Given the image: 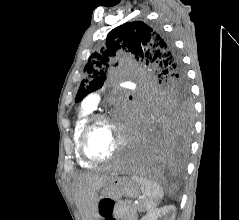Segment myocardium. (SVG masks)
<instances>
[{"label":"myocardium","instance_id":"f54148a6","mask_svg":"<svg viewBox=\"0 0 239 220\" xmlns=\"http://www.w3.org/2000/svg\"><path fill=\"white\" fill-rule=\"evenodd\" d=\"M99 123H110L113 124L118 132H119V140L117 143V146L115 148V150L108 155L107 157L104 158H96L93 157L87 148V141H88V137L90 132L92 131V129ZM124 146V137L121 133V131L118 129V127L116 126V124L114 123V118L105 114H94L92 115L86 122V124L84 125L81 133H80V138H79V150L81 153V156L88 162L92 163V164H101V163H106L109 162L111 160H113L117 154L121 151V149Z\"/></svg>","mask_w":239,"mask_h":220}]
</instances>
